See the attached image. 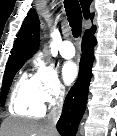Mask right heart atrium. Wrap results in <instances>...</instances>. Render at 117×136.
Wrapping results in <instances>:
<instances>
[{
  "mask_svg": "<svg viewBox=\"0 0 117 136\" xmlns=\"http://www.w3.org/2000/svg\"><path fill=\"white\" fill-rule=\"evenodd\" d=\"M32 81L34 93L43 106L55 105L64 97L65 87L57 73L40 58L34 59Z\"/></svg>",
  "mask_w": 117,
  "mask_h": 136,
  "instance_id": "right-heart-atrium-1",
  "label": "right heart atrium"
}]
</instances>
